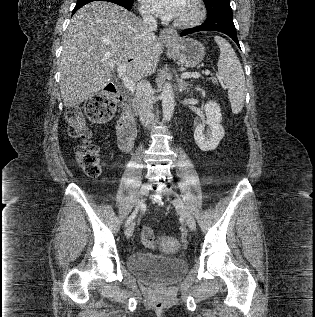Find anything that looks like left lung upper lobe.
<instances>
[{
	"label": "left lung upper lobe",
	"instance_id": "left-lung-upper-lobe-1",
	"mask_svg": "<svg viewBox=\"0 0 315 317\" xmlns=\"http://www.w3.org/2000/svg\"><path fill=\"white\" fill-rule=\"evenodd\" d=\"M207 10V21L217 23L223 20H233L230 0H203Z\"/></svg>",
	"mask_w": 315,
	"mask_h": 317
}]
</instances>
